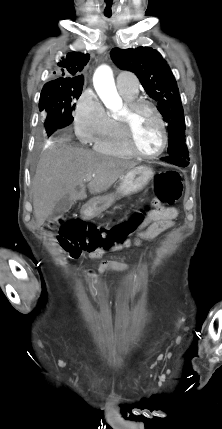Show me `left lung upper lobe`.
<instances>
[{
  "label": "left lung upper lobe",
  "instance_id": "obj_1",
  "mask_svg": "<svg viewBox=\"0 0 222 429\" xmlns=\"http://www.w3.org/2000/svg\"><path fill=\"white\" fill-rule=\"evenodd\" d=\"M110 56L122 70L136 74L144 90L158 102L168 124V155L189 159L185 144V120L176 80L161 54L150 47L113 48Z\"/></svg>",
  "mask_w": 222,
  "mask_h": 429
}]
</instances>
